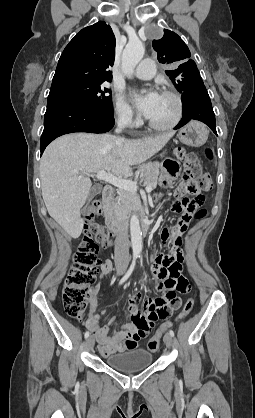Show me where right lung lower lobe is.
I'll list each match as a JSON object with an SVG mask.
<instances>
[{"label": "right lung lower lobe", "mask_w": 255, "mask_h": 418, "mask_svg": "<svg viewBox=\"0 0 255 418\" xmlns=\"http://www.w3.org/2000/svg\"><path fill=\"white\" fill-rule=\"evenodd\" d=\"M114 126L113 116H105L94 109L73 101L47 103L44 130L41 135V154L55 138L73 132L105 133Z\"/></svg>", "instance_id": "obj_1"}]
</instances>
